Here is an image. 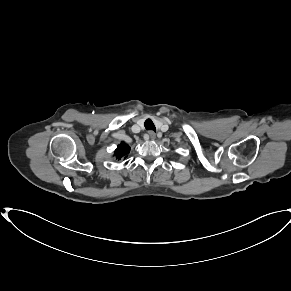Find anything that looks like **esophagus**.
Returning a JSON list of instances; mask_svg holds the SVG:
<instances>
[{"mask_svg": "<svg viewBox=\"0 0 291 291\" xmlns=\"http://www.w3.org/2000/svg\"><path fill=\"white\" fill-rule=\"evenodd\" d=\"M148 135H149V138H150L151 140H154L155 137H156V134H155L153 131H149V132H148Z\"/></svg>", "mask_w": 291, "mask_h": 291, "instance_id": "34e87169", "label": "esophagus"}]
</instances>
